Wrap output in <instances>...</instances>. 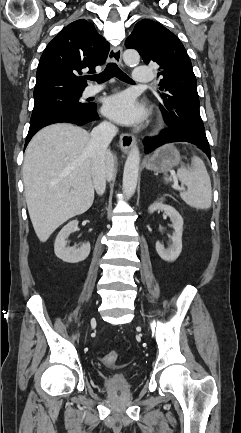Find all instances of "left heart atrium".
<instances>
[{
  "instance_id": "39dd6f15",
  "label": "left heart atrium",
  "mask_w": 241,
  "mask_h": 433,
  "mask_svg": "<svg viewBox=\"0 0 241 433\" xmlns=\"http://www.w3.org/2000/svg\"><path fill=\"white\" fill-rule=\"evenodd\" d=\"M103 109L109 118L121 124H134L143 117L142 108L135 98L126 92L107 98Z\"/></svg>"
}]
</instances>
